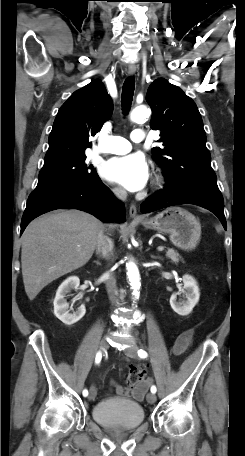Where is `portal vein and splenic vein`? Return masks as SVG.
Here are the masks:
<instances>
[{"mask_svg":"<svg viewBox=\"0 0 245 456\" xmlns=\"http://www.w3.org/2000/svg\"><path fill=\"white\" fill-rule=\"evenodd\" d=\"M157 249H158V251H163L164 247L163 246H159Z\"/></svg>","mask_w":245,"mask_h":456,"instance_id":"obj_1","label":"portal vein and splenic vein"}]
</instances>
